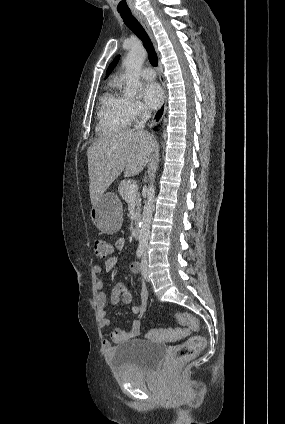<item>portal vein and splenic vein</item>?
<instances>
[{"instance_id":"1","label":"portal vein and splenic vein","mask_w":285,"mask_h":424,"mask_svg":"<svg viewBox=\"0 0 285 424\" xmlns=\"http://www.w3.org/2000/svg\"><path fill=\"white\" fill-rule=\"evenodd\" d=\"M138 191V187L136 183H131L128 187V195L129 197H134Z\"/></svg>"}]
</instances>
